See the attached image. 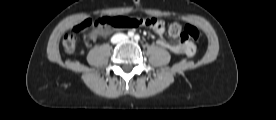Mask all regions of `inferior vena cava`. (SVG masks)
Here are the masks:
<instances>
[{
    "mask_svg": "<svg viewBox=\"0 0 276 120\" xmlns=\"http://www.w3.org/2000/svg\"><path fill=\"white\" fill-rule=\"evenodd\" d=\"M127 36L125 34H122V33H118V34H115L112 38H111V42L113 44H116L118 42H121V41H124L126 40Z\"/></svg>",
    "mask_w": 276,
    "mask_h": 120,
    "instance_id": "602c4592",
    "label": "inferior vena cava"
}]
</instances>
